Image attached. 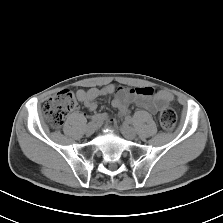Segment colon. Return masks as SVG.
I'll return each instance as SVG.
<instances>
[{
  "mask_svg": "<svg viewBox=\"0 0 223 223\" xmlns=\"http://www.w3.org/2000/svg\"><path fill=\"white\" fill-rule=\"evenodd\" d=\"M78 102L74 94L69 90H62L51 97L43 107V115L53 128H59L72 110L76 109ZM159 121L163 129L171 131L177 121L176 112L166 107L159 114Z\"/></svg>",
  "mask_w": 223,
  "mask_h": 223,
  "instance_id": "obj_1",
  "label": "colon"
}]
</instances>
